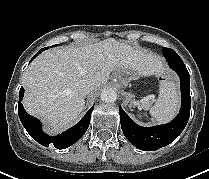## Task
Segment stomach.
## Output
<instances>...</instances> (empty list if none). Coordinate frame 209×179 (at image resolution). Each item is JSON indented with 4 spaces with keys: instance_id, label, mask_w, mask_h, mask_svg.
I'll use <instances>...</instances> for the list:
<instances>
[{
    "instance_id": "0dacf381",
    "label": "stomach",
    "mask_w": 209,
    "mask_h": 179,
    "mask_svg": "<svg viewBox=\"0 0 209 179\" xmlns=\"http://www.w3.org/2000/svg\"><path fill=\"white\" fill-rule=\"evenodd\" d=\"M138 78V73L129 69L120 71L117 76L118 82L122 87H127L131 81L136 80Z\"/></svg>"
}]
</instances>
